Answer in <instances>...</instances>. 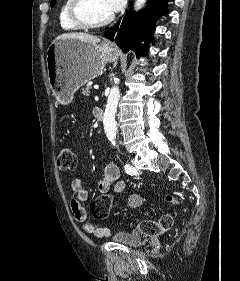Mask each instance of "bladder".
<instances>
[{"label": "bladder", "mask_w": 240, "mask_h": 281, "mask_svg": "<svg viewBox=\"0 0 240 281\" xmlns=\"http://www.w3.org/2000/svg\"><path fill=\"white\" fill-rule=\"evenodd\" d=\"M144 234L134 231H121L113 235L112 240L115 243L128 247H139L144 242Z\"/></svg>", "instance_id": "bladder-1"}]
</instances>
